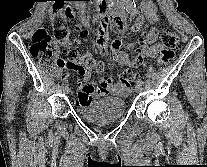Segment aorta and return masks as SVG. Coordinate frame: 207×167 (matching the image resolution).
<instances>
[{
  "label": "aorta",
  "instance_id": "obj_1",
  "mask_svg": "<svg viewBox=\"0 0 207 167\" xmlns=\"http://www.w3.org/2000/svg\"><path fill=\"white\" fill-rule=\"evenodd\" d=\"M128 14L133 16L136 13L135 0H120Z\"/></svg>",
  "mask_w": 207,
  "mask_h": 167
}]
</instances>
